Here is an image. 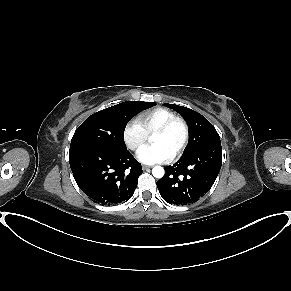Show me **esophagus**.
Segmentation results:
<instances>
[{"label": "esophagus", "mask_w": 291, "mask_h": 291, "mask_svg": "<svg viewBox=\"0 0 291 291\" xmlns=\"http://www.w3.org/2000/svg\"><path fill=\"white\" fill-rule=\"evenodd\" d=\"M142 168H143L144 170H146V169H149L150 166L143 165Z\"/></svg>", "instance_id": "1"}]
</instances>
